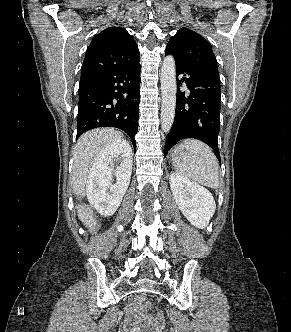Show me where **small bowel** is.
<instances>
[{
	"mask_svg": "<svg viewBox=\"0 0 291 332\" xmlns=\"http://www.w3.org/2000/svg\"><path fill=\"white\" fill-rule=\"evenodd\" d=\"M132 316L135 321L142 322L148 325L153 324L155 321L153 317L139 312L136 306L132 308Z\"/></svg>",
	"mask_w": 291,
	"mask_h": 332,
	"instance_id": "1",
	"label": "small bowel"
}]
</instances>
